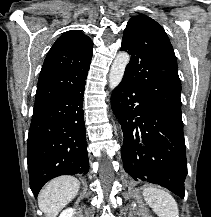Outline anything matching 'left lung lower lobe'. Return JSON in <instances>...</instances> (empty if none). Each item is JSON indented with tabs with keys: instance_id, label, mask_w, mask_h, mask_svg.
I'll list each match as a JSON object with an SVG mask.
<instances>
[{
	"instance_id": "left-lung-lower-lobe-1",
	"label": "left lung lower lobe",
	"mask_w": 211,
	"mask_h": 217,
	"mask_svg": "<svg viewBox=\"0 0 211 217\" xmlns=\"http://www.w3.org/2000/svg\"><path fill=\"white\" fill-rule=\"evenodd\" d=\"M111 107L124 135L125 171L135 180L159 184L184 198L187 161L182 118L159 108L125 78L112 92Z\"/></svg>"
}]
</instances>
